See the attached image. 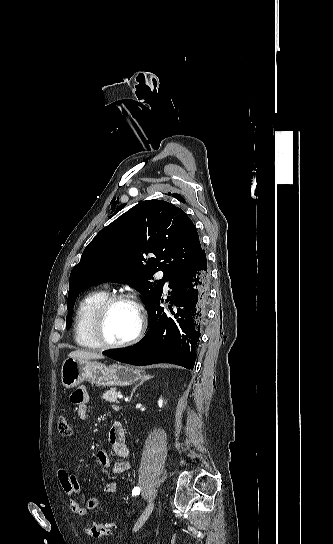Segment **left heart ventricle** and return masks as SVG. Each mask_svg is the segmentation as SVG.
<instances>
[{"mask_svg":"<svg viewBox=\"0 0 333 544\" xmlns=\"http://www.w3.org/2000/svg\"><path fill=\"white\" fill-rule=\"evenodd\" d=\"M136 309L127 302H118L108 311L104 322V336L107 341L118 343L129 339L138 327Z\"/></svg>","mask_w":333,"mask_h":544,"instance_id":"left-heart-ventricle-1","label":"left heart ventricle"}]
</instances>
